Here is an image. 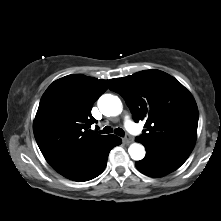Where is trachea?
Here are the masks:
<instances>
[{"label": "trachea", "mask_w": 221, "mask_h": 221, "mask_svg": "<svg viewBox=\"0 0 221 221\" xmlns=\"http://www.w3.org/2000/svg\"><path fill=\"white\" fill-rule=\"evenodd\" d=\"M112 132H113V130H112V128H111L110 126H106V127L101 131V133H103V134H109V133H112ZM114 133H115L116 135H118V136H121V137L124 136V131H123V129H121V128L115 129V130H114Z\"/></svg>", "instance_id": "3493384b"}]
</instances>
